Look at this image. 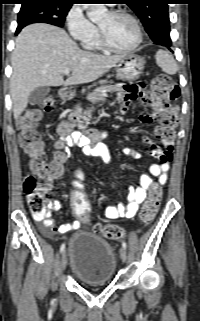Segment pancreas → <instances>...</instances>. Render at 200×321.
I'll return each instance as SVG.
<instances>
[{"mask_svg":"<svg viewBox=\"0 0 200 321\" xmlns=\"http://www.w3.org/2000/svg\"><path fill=\"white\" fill-rule=\"evenodd\" d=\"M100 83H101V84H107L108 82L105 81V80H103V81H101ZM93 86H96V84H94ZM93 86H90V88L93 87ZM107 87H108V86H104V85H103V86H101V89H106ZM83 92H84V90H83Z\"/></svg>","mask_w":200,"mask_h":321,"instance_id":"pancreas-1","label":"pancreas"}]
</instances>
